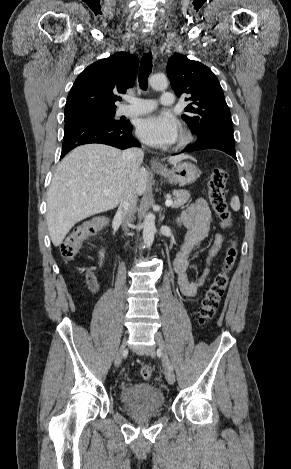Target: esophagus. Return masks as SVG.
Wrapping results in <instances>:
<instances>
[{
	"label": "esophagus",
	"mask_w": 291,
	"mask_h": 469,
	"mask_svg": "<svg viewBox=\"0 0 291 469\" xmlns=\"http://www.w3.org/2000/svg\"><path fill=\"white\" fill-rule=\"evenodd\" d=\"M146 48H147V50H151L153 55L156 56L155 46H154V43L151 39H148L146 41ZM150 165L154 169L162 168V164L155 158L150 159Z\"/></svg>",
	"instance_id": "esophagus-1"
}]
</instances>
